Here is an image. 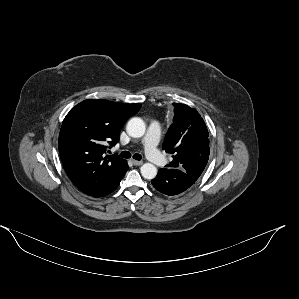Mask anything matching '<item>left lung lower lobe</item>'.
<instances>
[{"label":"left lung lower lobe","instance_id":"obj_1","mask_svg":"<svg viewBox=\"0 0 299 299\" xmlns=\"http://www.w3.org/2000/svg\"><path fill=\"white\" fill-rule=\"evenodd\" d=\"M151 182L159 192L169 196L180 194L195 183L182 170L167 167L159 169L157 176Z\"/></svg>","mask_w":299,"mask_h":299}]
</instances>
